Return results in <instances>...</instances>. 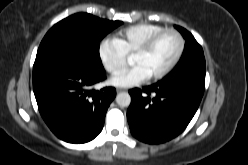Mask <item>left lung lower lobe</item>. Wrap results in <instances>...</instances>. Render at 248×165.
Wrapping results in <instances>:
<instances>
[{"instance_id": "1", "label": "left lung lower lobe", "mask_w": 248, "mask_h": 165, "mask_svg": "<svg viewBox=\"0 0 248 165\" xmlns=\"http://www.w3.org/2000/svg\"><path fill=\"white\" fill-rule=\"evenodd\" d=\"M204 89L205 69L162 79L142 90L131 89L127 119L132 135L149 144L178 136L196 113Z\"/></svg>"}]
</instances>
